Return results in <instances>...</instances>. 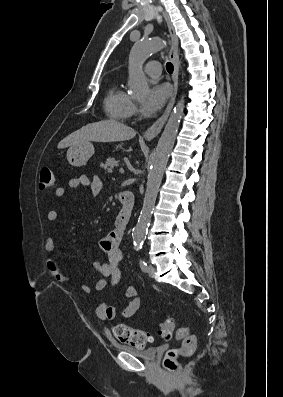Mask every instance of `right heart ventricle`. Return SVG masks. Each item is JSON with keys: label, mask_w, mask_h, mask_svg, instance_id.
Here are the masks:
<instances>
[{"label": "right heart ventricle", "mask_w": 283, "mask_h": 397, "mask_svg": "<svg viewBox=\"0 0 283 397\" xmlns=\"http://www.w3.org/2000/svg\"><path fill=\"white\" fill-rule=\"evenodd\" d=\"M132 100L129 95L122 89L121 85L116 82L108 90L104 108L109 118L116 121H123L128 117V109Z\"/></svg>", "instance_id": "obj_1"}]
</instances>
